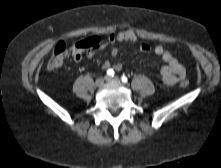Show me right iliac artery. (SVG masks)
Wrapping results in <instances>:
<instances>
[{"mask_svg":"<svg viewBox=\"0 0 221 168\" xmlns=\"http://www.w3.org/2000/svg\"><path fill=\"white\" fill-rule=\"evenodd\" d=\"M107 75H108L109 77H113V76H114V70H113V69H108V70H107Z\"/></svg>","mask_w":221,"mask_h":168,"instance_id":"82829eb1","label":"right iliac artery"}]
</instances>
